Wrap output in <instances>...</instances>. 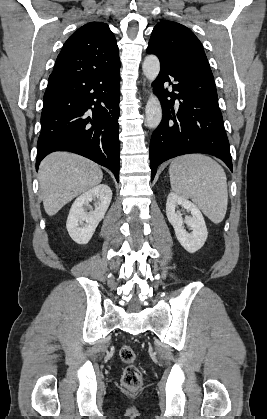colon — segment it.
<instances>
[{"label":"colon","mask_w":267,"mask_h":419,"mask_svg":"<svg viewBox=\"0 0 267 419\" xmlns=\"http://www.w3.org/2000/svg\"><path fill=\"white\" fill-rule=\"evenodd\" d=\"M119 358L126 364L122 373V384L128 389H137L142 385L143 377L140 369L135 365L136 354L132 347L123 344L119 349Z\"/></svg>","instance_id":"5ec220e1"}]
</instances>
